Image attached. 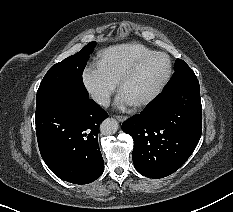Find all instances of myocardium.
<instances>
[{
    "label": "myocardium",
    "mask_w": 233,
    "mask_h": 212,
    "mask_svg": "<svg viewBox=\"0 0 233 212\" xmlns=\"http://www.w3.org/2000/svg\"><path fill=\"white\" fill-rule=\"evenodd\" d=\"M156 55L164 56L167 59V63H168L167 72H166L165 76L163 77V79L159 82V84L154 88V90L151 93H149L145 98H143L137 102L132 103V105L134 107L140 108V107L147 106L161 93V91L163 90V88L165 87L167 82L169 81L171 74H172V61H171L170 56L168 54H166L165 52L152 51V52L142 56L141 58H139L124 73V75L121 77V79L119 81V89H120V91H122L124 86L126 85V83L136 75V73L139 71L141 66L148 59H150L151 57L156 56Z\"/></svg>",
    "instance_id": "f54148a6"
}]
</instances>
